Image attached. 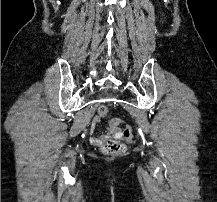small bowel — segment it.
I'll use <instances>...</instances> for the list:
<instances>
[{
	"instance_id": "1",
	"label": "small bowel",
	"mask_w": 217,
	"mask_h": 202,
	"mask_svg": "<svg viewBox=\"0 0 217 202\" xmlns=\"http://www.w3.org/2000/svg\"><path fill=\"white\" fill-rule=\"evenodd\" d=\"M99 114L95 115L91 121L89 127V142L97 147L103 146V144L109 141L112 137L123 136V132L120 128H110L107 126L105 131H99V125L102 120H99Z\"/></svg>"
}]
</instances>
